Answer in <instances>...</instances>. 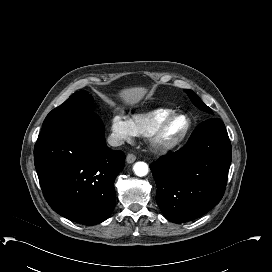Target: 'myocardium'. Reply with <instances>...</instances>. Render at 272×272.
<instances>
[{"label":"myocardium","mask_w":272,"mask_h":272,"mask_svg":"<svg viewBox=\"0 0 272 272\" xmlns=\"http://www.w3.org/2000/svg\"><path fill=\"white\" fill-rule=\"evenodd\" d=\"M183 117L186 120V127L183 133L174 139L173 141L166 142L163 139V135L167 130L169 124L176 118ZM191 120L190 118L185 115L184 113H172L168 117H166L150 134L148 135V140L151 147L159 152H168L173 149H176L184 141L187 139L190 131H191Z\"/></svg>","instance_id":"f54148a6"}]
</instances>
